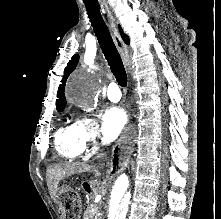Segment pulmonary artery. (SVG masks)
<instances>
[{
	"label": "pulmonary artery",
	"instance_id": "pulmonary-artery-1",
	"mask_svg": "<svg viewBox=\"0 0 221 219\" xmlns=\"http://www.w3.org/2000/svg\"><path fill=\"white\" fill-rule=\"evenodd\" d=\"M107 97L112 102H118L122 95L121 91L116 83H110L107 88Z\"/></svg>",
	"mask_w": 221,
	"mask_h": 219
}]
</instances>
